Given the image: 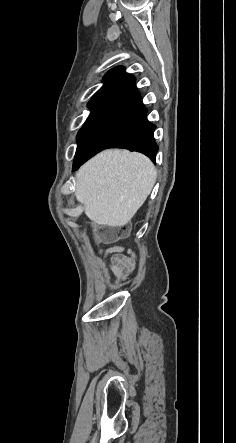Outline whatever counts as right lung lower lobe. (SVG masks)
<instances>
[{
  "label": "right lung lower lobe",
  "instance_id": "98d812e1",
  "mask_svg": "<svg viewBox=\"0 0 236 443\" xmlns=\"http://www.w3.org/2000/svg\"><path fill=\"white\" fill-rule=\"evenodd\" d=\"M136 86L109 97L78 133L73 170L106 148L137 151L155 161L158 146Z\"/></svg>",
  "mask_w": 236,
  "mask_h": 443
}]
</instances>
